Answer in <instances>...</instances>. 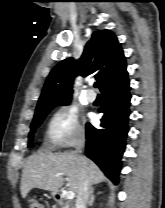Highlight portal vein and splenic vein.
<instances>
[{
  "label": "portal vein and splenic vein",
  "instance_id": "obj_1",
  "mask_svg": "<svg viewBox=\"0 0 165 208\" xmlns=\"http://www.w3.org/2000/svg\"><path fill=\"white\" fill-rule=\"evenodd\" d=\"M55 177H60V174H55ZM75 197V193L73 191H67L66 192V199L67 200H72Z\"/></svg>",
  "mask_w": 165,
  "mask_h": 208
}]
</instances>
